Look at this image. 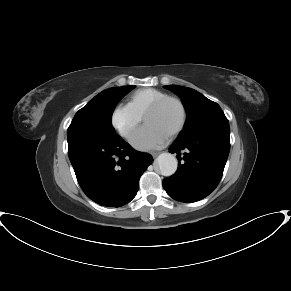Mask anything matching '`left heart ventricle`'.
I'll use <instances>...</instances> for the list:
<instances>
[{
	"label": "left heart ventricle",
	"mask_w": 291,
	"mask_h": 291,
	"mask_svg": "<svg viewBox=\"0 0 291 291\" xmlns=\"http://www.w3.org/2000/svg\"><path fill=\"white\" fill-rule=\"evenodd\" d=\"M180 118L181 113L177 104L169 102L160 110L149 114L145 119V123L169 135L178 125Z\"/></svg>",
	"instance_id": "left-heart-ventricle-1"
}]
</instances>
